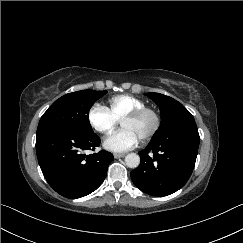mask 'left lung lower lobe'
<instances>
[{"label": "left lung lower lobe", "mask_w": 243, "mask_h": 243, "mask_svg": "<svg viewBox=\"0 0 243 243\" xmlns=\"http://www.w3.org/2000/svg\"><path fill=\"white\" fill-rule=\"evenodd\" d=\"M200 137L195 122L153 139L140 155V165L131 172L133 183L153 196H166L188 181L197 157Z\"/></svg>", "instance_id": "obj_1"}]
</instances>
